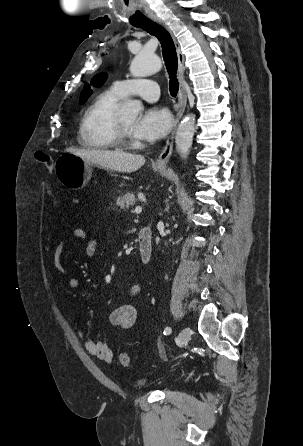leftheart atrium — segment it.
<instances>
[{
    "mask_svg": "<svg viewBox=\"0 0 303 446\" xmlns=\"http://www.w3.org/2000/svg\"><path fill=\"white\" fill-rule=\"evenodd\" d=\"M172 125L170 112L161 107H151L135 122L133 134L144 140H159L164 138Z\"/></svg>",
    "mask_w": 303,
    "mask_h": 446,
    "instance_id": "39dd6f15",
    "label": "left heart atrium"
}]
</instances>
